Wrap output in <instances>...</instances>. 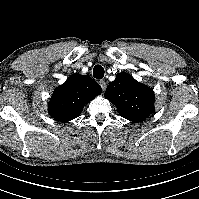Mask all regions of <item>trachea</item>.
I'll return each instance as SVG.
<instances>
[{"instance_id":"1","label":"trachea","mask_w":199,"mask_h":199,"mask_svg":"<svg viewBox=\"0 0 199 199\" xmlns=\"http://www.w3.org/2000/svg\"><path fill=\"white\" fill-rule=\"evenodd\" d=\"M93 76L96 79H102L104 77V69L101 65H96L93 69Z\"/></svg>"}]
</instances>
